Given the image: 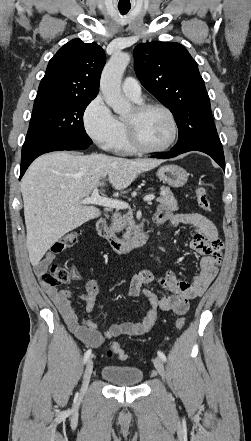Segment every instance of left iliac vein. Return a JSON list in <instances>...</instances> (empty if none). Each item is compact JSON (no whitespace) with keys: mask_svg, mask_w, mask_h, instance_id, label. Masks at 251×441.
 Segmentation results:
<instances>
[{"mask_svg":"<svg viewBox=\"0 0 251 441\" xmlns=\"http://www.w3.org/2000/svg\"><path fill=\"white\" fill-rule=\"evenodd\" d=\"M153 363L159 375L162 377V379H165V368L161 358H154Z\"/></svg>","mask_w":251,"mask_h":441,"instance_id":"left-iliac-vein-1","label":"left iliac vein"}]
</instances>
